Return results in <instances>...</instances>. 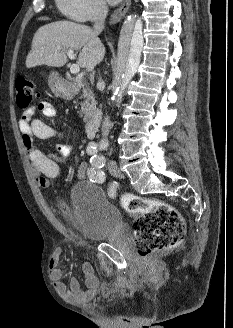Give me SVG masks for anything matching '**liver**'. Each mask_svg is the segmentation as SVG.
<instances>
[{
  "label": "liver",
  "instance_id": "liver-1",
  "mask_svg": "<svg viewBox=\"0 0 233 328\" xmlns=\"http://www.w3.org/2000/svg\"><path fill=\"white\" fill-rule=\"evenodd\" d=\"M99 32L86 25L71 21H57L38 29L26 58V67L40 65L62 67L68 61L67 49L81 50L77 64L87 71L103 59L105 47L98 38ZM60 45L61 48H57Z\"/></svg>",
  "mask_w": 233,
  "mask_h": 328
}]
</instances>
